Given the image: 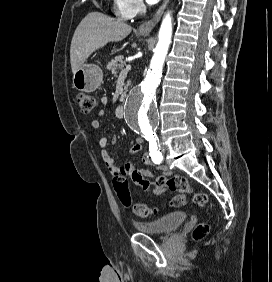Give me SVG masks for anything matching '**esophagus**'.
Listing matches in <instances>:
<instances>
[{"label": "esophagus", "instance_id": "esophagus-1", "mask_svg": "<svg viewBox=\"0 0 272 282\" xmlns=\"http://www.w3.org/2000/svg\"><path fill=\"white\" fill-rule=\"evenodd\" d=\"M169 0H164L162 5L159 7V9L156 11L154 16L152 17L151 20L143 22L140 24L138 27V32L142 35H148L152 31V29L155 27V25L159 22L161 19V16L164 12V9L166 8Z\"/></svg>", "mask_w": 272, "mask_h": 282}]
</instances>
